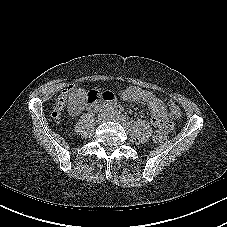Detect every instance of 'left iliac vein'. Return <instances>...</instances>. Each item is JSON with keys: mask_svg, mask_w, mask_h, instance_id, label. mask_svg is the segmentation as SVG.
<instances>
[{"mask_svg": "<svg viewBox=\"0 0 227 227\" xmlns=\"http://www.w3.org/2000/svg\"><path fill=\"white\" fill-rule=\"evenodd\" d=\"M116 120L118 121V122H120L125 128H126V130H128L129 131V127L118 117V118H116Z\"/></svg>", "mask_w": 227, "mask_h": 227, "instance_id": "4c4485c4", "label": "left iliac vein"}]
</instances>
